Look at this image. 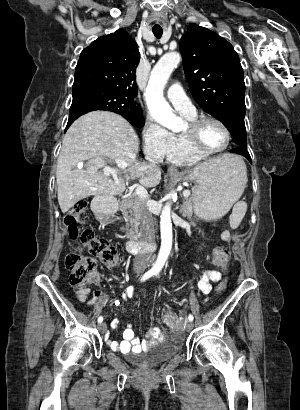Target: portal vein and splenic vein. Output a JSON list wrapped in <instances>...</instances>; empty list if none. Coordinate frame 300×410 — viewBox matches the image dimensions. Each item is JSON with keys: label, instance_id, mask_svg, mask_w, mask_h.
<instances>
[{"label": "portal vein and splenic vein", "instance_id": "1", "mask_svg": "<svg viewBox=\"0 0 300 410\" xmlns=\"http://www.w3.org/2000/svg\"><path fill=\"white\" fill-rule=\"evenodd\" d=\"M115 162H116V165H117V169L116 170L110 169L109 171L112 172V173H114L118 170L119 171L123 170L127 167V164L122 160H115ZM135 193L142 200H146L148 198V192L143 186H137L136 189H135ZM190 195H191L190 190H184L183 191V196L184 197H189Z\"/></svg>", "mask_w": 300, "mask_h": 410}]
</instances>
